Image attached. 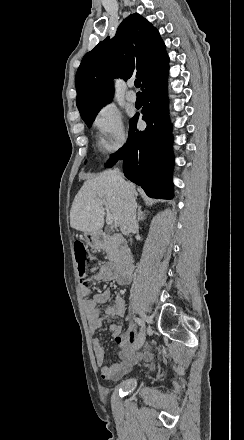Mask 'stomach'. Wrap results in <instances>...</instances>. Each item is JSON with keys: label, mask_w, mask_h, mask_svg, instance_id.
<instances>
[{"label": "stomach", "mask_w": 244, "mask_h": 440, "mask_svg": "<svg viewBox=\"0 0 244 440\" xmlns=\"http://www.w3.org/2000/svg\"><path fill=\"white\" fill-rule=\"evenodd\" d=\"M84 238L90 248H102L103 246L101 232H84Z\"/></svg>", "instance_id": "0dacf381"}]
</instances>
